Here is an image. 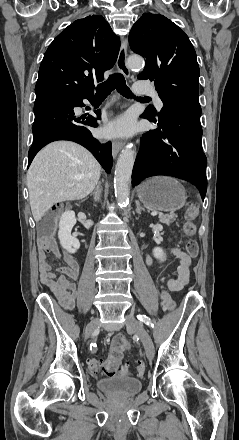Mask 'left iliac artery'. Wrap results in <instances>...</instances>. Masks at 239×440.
Listing matches in <instances>:
<instances>
[{"instance_id":"1","label":"left iliac artery","mask_w":239,"mask_h":440,"mask_svg":"<svg viewBox=\"0 0 239 440\" xmlns=\"http://www.w3.org/2000/svg\"><path fill=\"white\" fill-rule=\"evenodd\" d=\"M137 318L145 323L146 325H148L150 328H154V324L152 323L151 319L149 317H147L146 315H138Z\"/></svg>"}]
</instances>
